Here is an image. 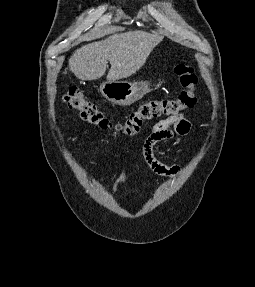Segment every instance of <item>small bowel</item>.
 Instances as JSON below:
<instances>
[{
	"label": "small bowel",
	"instance_id": "1",
	"mask_svg": "<svg viewBox=\"0 0 255 287\" xmlns=\"http://www.w3.org/2000/svg\"><path fill=\"white\" fill-rule=\"evenodd\" d=\"M192 127L191 122L181 114L170 115L165 119L158 120L152 126L151 133L145 139L142 146V155L147 166L156 174L175 177L181 172L179 165H168L160 161L155 154L158 143L172 139L175 135H186ZM126 180L121 175L113 186V194L116 195L119 187Z\"/></svg>",
	"mask_w": 255,
	"mask_h": 287
}]
</instances>
